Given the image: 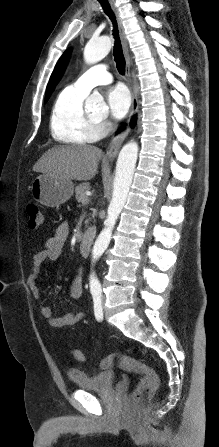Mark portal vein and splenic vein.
Segmentation results:
<instances>
[{"mask_svg":"<svg viewBox=\"0 0 219 447\" xmlns=\"http://www.w3.org/2000/svg\"><path fill=\"white\" fill-rule=\"evenodd\" d=\"M88 203L89 202V199L88 198H86V199H83V203Z\"/></svg>","mask_w":219,"mask_h":447,"instance_id":"18ae733b","label":"portal vein and splenic vein"}]
</instances>
